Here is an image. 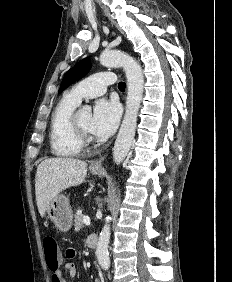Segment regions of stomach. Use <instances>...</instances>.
Here are the masks:
<instances>
[{"instance_id": "1", "label": "stomach", "mask_w": 232, "mask_h": 282, "mask_svg": "<svg viewBox=\"0 0 232 282\" xmlns=\"http://www.w3.org/2000/svg\"><path fill=\"white\" fill-rule=\"evenodd\" d=\"M100 169H91V173L99 175ZM48 218L62 232H67L72 225V209L69 199L63 194H58L50 203L47 209Z\"/></svg>"}]
</instances>
